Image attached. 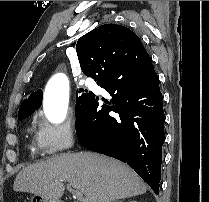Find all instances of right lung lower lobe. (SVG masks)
I'll return each instance as SVG.
<instances>
[{
  "label": "right lung lower lobe",
  "instance_id": "1",
  "mask_svg": "<svg viewBox=\"0 0 209 202\" xmlns=\"http://www.w3.org/2000/svg\"><path fill=\"white\" fill-rule=\"evenodd\" d=\"M141 61L143 73L129 75L125 84L117 85L112 79L98 84L112 99L100 106L93 95L76 116L75 128L86 148L127 163L159 194L165 141L163 97L150 56Z\"/></svg>",
  "mask_w": 209,
  "mask_h": 202
}]
</instances>
